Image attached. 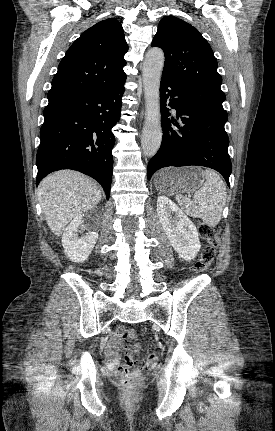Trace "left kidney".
Masks as SVG:
<instances>
[{
    "label": "left kidney",
    "mask_w": 275,
    "mask_h": 431,
    "mask_svg": "<svg viewBox=\"0 0 275 431\" xmlns=\"http://www.w3.org/2000/svg\"><path fill=\"white\" fill-rule=\"evenodd\" d=\"M157 214L174 250L184 260L194 259L201 248V244L198 230L193 222L166 196L157 198Z\"/></svg>",
    "instance_id": "1"
}]
</instances>
